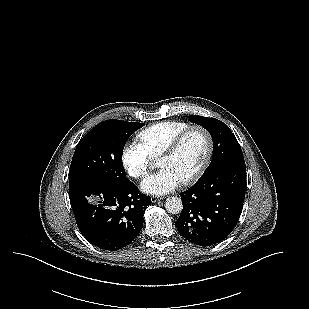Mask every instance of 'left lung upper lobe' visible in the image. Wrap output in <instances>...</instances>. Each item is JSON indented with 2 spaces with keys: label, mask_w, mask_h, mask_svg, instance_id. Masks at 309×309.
<instances>
[{
  "label": "left lung upper lobe",
  "mask_w": 309,
  "mask_h": 309,
  "mask_svg": "<svg viewBox=\"0 0 309 309\" xmlns=\"http://www.w3.org/2000/svg\"><path fill=\"white\" fill-rule=\"evenodd\" d=\"M190 121L208 130L213 139V158L204 174L227 162L244 159L236 137L223 122L199 115H192Z\"/></svg>",
  "instance_id": "5c2ea615"
}]
</instances>
